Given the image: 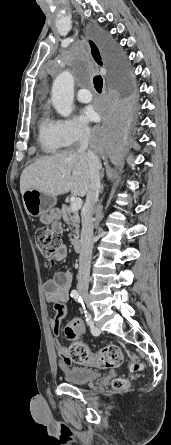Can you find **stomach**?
Here are the masks:
<instances>
[{"label": "stomach", "mask_w": 171, "mask_h": 445, "mask_svg": "<svg viewBox=\"0 0 171 445\" xmlns=\"http://www.w3.org/2000/svg\"><path fill=\"white\" fill-rule=\"evenodd\" d=\"M22 199L28 215L38 217L50 213L52 220L57 221L59 219V210L54 208L57 202L55 196L29 189L23 193Z\"/></svg>", "instance_id": "0dacf381"}]
</instances>
